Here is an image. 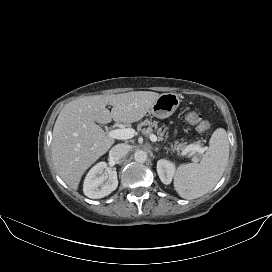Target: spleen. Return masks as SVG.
I'll list each match as a JSON object with an SVG mask.
<instances>
[{
    "instance_id": "1",
    "label": "spleen",
    "mask_w": 272,
    "mask_h": 272,
    "mask_svg": "<svg viewBox=\"0 0 272 272\" xmlns=\"http://www.w3.org/2000/svg\"><path fill=\"white\" fill-rule=\"evenodd\" d=\"M229 158V141L223 128L216 129L200 163L181 164L174 187L184 199H195L209 192L221 179Z\"/></svg>"
}]
</instances>
